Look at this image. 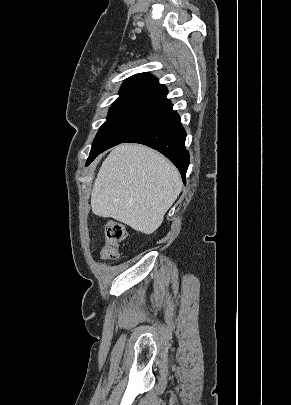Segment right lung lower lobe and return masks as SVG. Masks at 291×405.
Segmentation results:
<instances>
[{
    "mask_svg": "<svg viewBox=\"0 0 291 405\" xmlns=\"http://www.w3.org/2000/svg\"><path fill=\"white\" fill-rule=\"evenodd\" d=\"M186 132L176 111L172 109L160 120L135 134L125 143H140L158 150L179 169L185 183L190 156L185 148Z\"/></svg>",
    "mask_w": 291,
    "mask_h": 405,
    "instance_id": "1",
    "label": "right lung lower lobe"
}]
</instances>
